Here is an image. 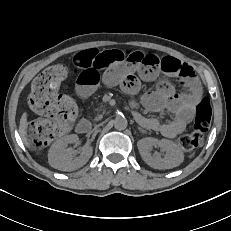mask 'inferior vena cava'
Returning a JSON list of instances; mask_svg holds the SVG:
<instances>
[{
  "label": "inferior vena cava",
  "mask_w": 231,
  "mask_h": 231,
  "mask_svg": "<svg viewBox=\"0 0 231 231\" xmlns=\"http://www.w3.org/2000/svg\"><path fill=\"white\" fill-rule=\"evenodd\" d=\"M103 125V123L100 121L99 123H97L94 128L97 130L99 127H101Z\"/></svg>",
  "instance_id": "1"
}]
</instances>
